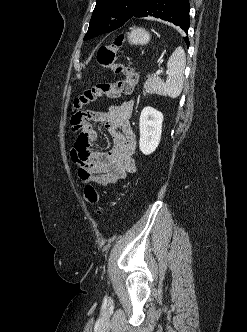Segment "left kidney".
<instances>
[{
    "mask_svg": "<svg viewBox=\"0 0 247 332\" xmlns=\"http://www.w3.org/2000/svg\"><path fill=\"white\" fill-rule=\"evenodd\" d=\"M163 114L152 108L145 107L140 115L139 148L145 155L153 153L158 147L162 133Z\"/></svg>",
    "mask_w": 247,
    "mask_h": 332,
    "instance_id": "5707ae66",
    "label": "left kidney"
}]
</instances>
